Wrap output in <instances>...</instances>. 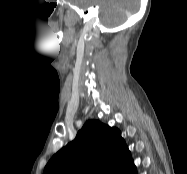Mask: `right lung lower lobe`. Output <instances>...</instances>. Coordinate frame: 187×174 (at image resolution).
Instances as JSON below:
<instances>
[{
	"instance_id": "1",
	"label": "right lung lower lobe",
	"mask_w": 187,
	"mask_h": 174,
	"mask_svg": "<svg viewBox=\"0 0 187 174\" xmlns=\"http://www.w3.org/2000/svg\"><path fill=\"white\" fill-rule=\"evenodd\" d=\"M137 172H136V170L134 171V172H132L131 174H136Z\"/></svg>"
}]
</instances>
